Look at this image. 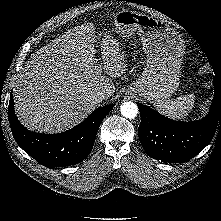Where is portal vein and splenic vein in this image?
Returning a JSON list of instances; mask_svg holds the SVG:
<instances>
[{"label": "portal vein and splenic vein", "mask_w": 221, "mask_h": 221, "mask_svg": "<svg viewBox=\"0 0 221 221\" xmlns=\"http://www.w3.org/2000/svg\"><path fill=\"white\" fill-rule=\"evenodd\" d=\"M100 66H101V65L98 64V65L96 66V68H97V69H100Z\"/></svg>", "instance_id": "1"}]
</instances>
